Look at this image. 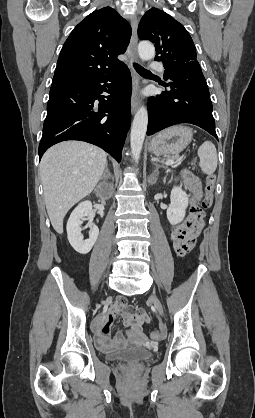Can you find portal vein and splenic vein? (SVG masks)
<instances>
[{
    "mask_svg": "<svg viewBox=\"0 0 255 418\" xmlns=\"http://www.w3.org/2000/svg\"><path fill=\"white\" fill-rule=\"evenodd\" d=\"M175 163V161L174 160H167L166 162H165V165L166 166H170V165H173Z\"/></svg>",
    "mask_w": 255,
    "mask_h": 418,
    "instance_id": "1",
    "label": "portal vein and splenic vein"
}]
</instances>
